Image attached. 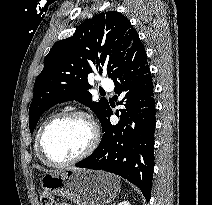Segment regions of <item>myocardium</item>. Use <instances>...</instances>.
Here are the masks:
<instances>
[{"label":"myocardium","instance_id":"obj_1","mask_svg":"<svg viewBox=\"0 0 212 205\" xmlns=\"http://www.w3.org/2000/svg\"><path fill=\"white\" fill-rule=\"evenodd\" d=\"M71 117L82 118L83 120H85L87 122V124L89 125V127L91 129L90 142L88 143L87 147L79 155H77L69 160H65V161L54 160L53 158H51L49 156V154L47 153V151L45 149V146H44L45 136H46L48 130L55 123H57L60 120H63L66 118H71ZM99 141H100V131H99L97 124L92 119V117L88 113L81 111V110H69V111H63V112H60V113L54 115L43 125V127L40 130L39 135H38L37 148H38L41 158L46 163L53 165V166L62 167V166H68V165L75 164V163L87 158L97 148Z\"/></svg>","mask_w":212,"mask_h":205}]
</instances>
